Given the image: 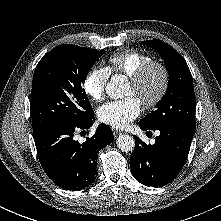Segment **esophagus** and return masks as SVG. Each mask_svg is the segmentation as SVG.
Listing matches in <instances>:
<instances>
[{"mask_svg":"<svg viewBox=\"0 0 221 221\" xmlns=\"http://www.w3.org/2000/svg\"><path fill=\"white\" fill-rule=\"evenodd\" d=\"M113 133H114L115 137H117V136L122 134V132L120 130H114Z\"/></svg>","mask_w":221,"mask_h":221,"instance_id":"esophagus-1","label":"esophagus"}]
</instances>
